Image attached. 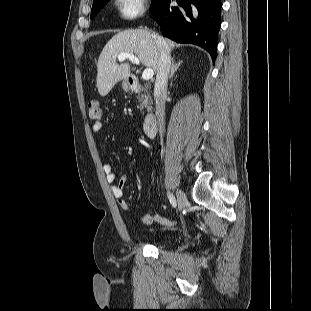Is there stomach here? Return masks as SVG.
Wrapping results in <instances>:
<instances>
[{"mask_svg": "<svg viewBox=\"0 0 311 311\" xmlns=\"http://www.w3.org/2000/svg\"><path fill=\"white\" fill-rule=\"evenodd\" d=\"M122 89H123L124 91H126V92L130 90L129 79H124V80L122 81Z\"/></svg>", "mask_w": 311, "mask_h": 311, "instance_id": "1", "label": "stomach"}]
</instances>
